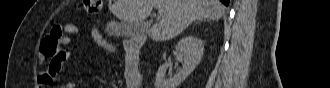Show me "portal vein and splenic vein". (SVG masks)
I'll list each match as a JSON object with an SVG mask.
<instances>
[{"label": "portal vein and splenic vein", "mask_w": 330, "mask_h": 88, "mask_svg": "<svg viewBox=\"0 0 330 88\" xmlns=\"http://www.w3.org/2000/svg\"><path fill=\"white\" fill-rule=\"evenodd\" d=\"M163 14V12H162V10H158V15H162Z\"/></svg>", "instance_id": "portal-vein-and-splenic-vein-1"}]
</instances>
